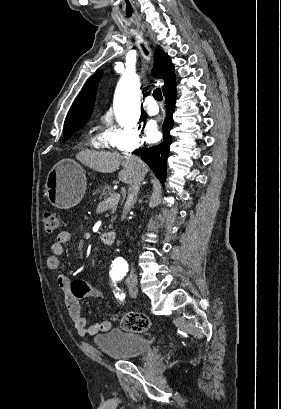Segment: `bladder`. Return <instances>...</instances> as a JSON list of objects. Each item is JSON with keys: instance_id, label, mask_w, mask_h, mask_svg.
<instances>
[{"instance_id": "1", "label": "bladder", "mask_w": 281, "mask_h": 409, "mask_svg": "<svg viewBox=\"0 0 281 409\" xmlns=\"http://www.w3.org/2000/svg\"><path fill=\"white\" fill-rule=\"evenodd\" d=\"M93 342L100 353L115 361L140 358L154 350L148 336L116 327L95 336Z\"/></svg>"}]
</instances>
